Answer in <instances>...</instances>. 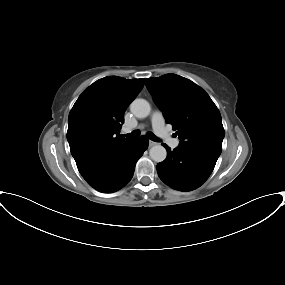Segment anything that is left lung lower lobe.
<instances>
[{
    "mask_svg": "<svg viewBox=\"0 0 285 285\" xmlns=\"http://www.w3.org/2000/svg\"><path fill=\"white\" fill-rule=\"evenodd\" d=\"M167 149V158L157 164L160 179L173 189L191 191L200 187L212 173L217 157L178 146Z\"/></svg>",
    "mask_w": 285,
    "mask_h": 285,
    "instance_id": "0a47b994",
    "label": "left lung lower lobe"
}]
</instances>
